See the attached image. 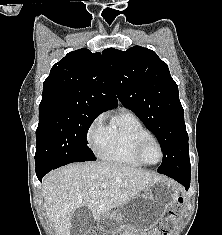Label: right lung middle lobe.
<instances>
[{"instance_id":"right-lung-middle-lobe-1","label":"right lung middle lobe","mask_w":222,"mask_h":235,"mask_svg":"<svg viewBox=\"0 0 222 235\" xmlns=\"http://www.w3.org/2000/svg\"><path fill=\"white\" fill-rule=\"evenodd\" d=\"M100 113L67 108L39 113L36 130V172L96 160L87 146V132Z\"/></svg>"}]
</instances>
